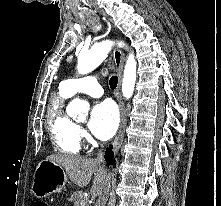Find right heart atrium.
Here are the masks:
<instances>
[{
    "label": "right heart atrium",
    "instance_id": "right-heart-atrium-1",
    "mask_svg": "<svg viewBox=\"0 0 221 206\" xmlns=\"http://www.w3.org/2000/svg\"><path fill=\"white\" fill-rule=\"evenodd\" d=\"M79 134L81 139L88 140V135L82 128H79Z\"/></svg>",
    "mask_w": 221,
    "mask_h": 206
}]
</instances>
